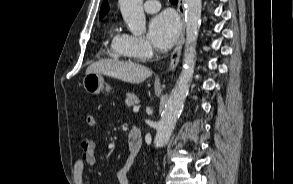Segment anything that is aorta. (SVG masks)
<instances>
[{
  "mask_svg": "<svg viewBox=\"0 0 293 184\" xmlns=\"http://www.w3.org/2000/svg\"><path fill=\"white\" fill-rule=\"evenodd\" d=\"M120 11L128 29L134 35L146 30V19L142 8V0H119ZM186 18V44L183 68L172 90L161 119L156 127L155 147L166 144L174 130L176 122L183 110L194 74L196 42L201 24L202 0H184Z\"/></svg>",
  "mask_w": 293,
  "mask_h": 184,
  "instance_id": "obj_1",
  "label": "aorta"
}]
</instances>
